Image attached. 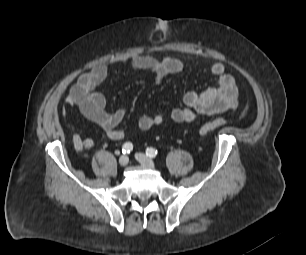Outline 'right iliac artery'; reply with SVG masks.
Returning <instances> with one entry per match:
<instances>
[{"label": "right iliac artery", "instance_id": "obj_1", "mask_svg": "<svg viewBox=\"0 0 306 255\" xmlns=\"http://www.w3.org/2000/svg\"><path fill=\"white\" fill-rule=\"evenodd\" d=\"M133 150V144L131 142H126L122 146V153L128 154Z\"/></svg>", "mask_w": 306, "mask_h": 255}]
</instances>
